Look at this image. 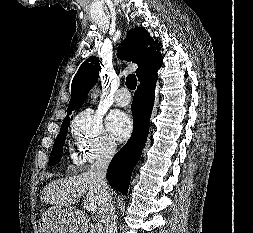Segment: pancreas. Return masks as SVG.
I'll list each match as a JSON object with an SVG mask.
<instances>
[{"instance_id":"pancreas-1","label":"pancreas","mask_w":253,"mask_h":233,"mask_svg":"<svg viewBox=\"0 0 253 233\" xmlns=\"http://www.w3.org/2000/svg\"><path fill=\"white\" fill-rule=\"evenodd\" d=\"M91 233H102V228L99 223H96L95 225H91L90 227Z\"/></svg>"}]
</instances>
